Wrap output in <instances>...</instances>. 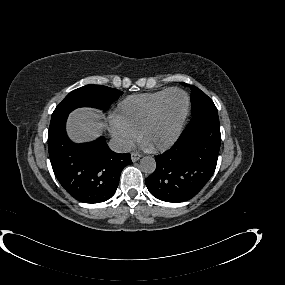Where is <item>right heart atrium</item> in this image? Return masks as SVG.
Listing matches in <instances>:
<instances>
[{
    "mask_svg": "<svg viewBox=\"0 0 285 285\" xmlns=\"http://www.w3.org/2000/svg\"><path fill=\"white\" fill-rule=\"evenodd\" d=\"M110 134L124 147H129L136 139L134 132L129 130L126 126L122 125L115 116L110 119Z\"/></svg>",
    "mask_w": 285,
    "mask_h": 285,
    "instance_id": "1",
    "label": "right heart atrium"
}]
</instances>
